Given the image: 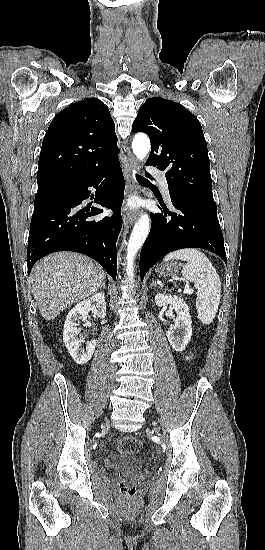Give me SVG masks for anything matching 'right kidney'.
Here are the masks:
<instances>
[{
	"mask_svg": "<svg viewBox=\"0 0 265 550\" xmlns=\"http://www.w3.org/2000/svg\"><path fill=\"white\" fill-rule=\"evenodd\" d=\"M89 311L100 318H104L106 315V302L103 293H96L88 299L81 301L75 307H73L65 320L63 341L65 346L73 358V360L79 364H86L91 358L96 348V340L91 339L86 343V349L80 348L84 342L83 336L78 338V334L81 332L79 327V321H85L87 319Z\"/></svg>",
	"mask_w": 265,
	"mask_h": 550,
	"instance_id": "1",
	"label": "right kidney"
}]
</instances>
